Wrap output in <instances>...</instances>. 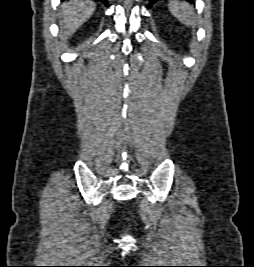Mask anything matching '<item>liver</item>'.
Wrapping results in <instances>:
<instances>
[{"mask_svg": "<svg viewBox=\"0 0 254 267\" xmlns=\"http://www.w3.org/2000/svg\"><path fill=\"white\" fill-rule=\"evenodd\" d=\"M61 8V37L67 39L92 16L96 4L89 0H71Z\"/></svg>", "mask_w": 254, "mask_h": 267, "instance_id": "liver-1", "label": "liver"}]
</instances>
